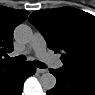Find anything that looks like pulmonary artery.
I'll return each instance as SVG.
<instances>
[{
    "label": "pulmonary artery",
    "instance_id": "e3ab8cb5",
    "mask_svg": "<svg viewBox=\"0 0 95 95\" xmlns=\"http://www.w3.org/2000/svg\"><path fill=\"white\" fill-rule=\"evenodd\" d=\"M34 50L36 56L49 64L53 68H60L62 66L61 61L53 54L49 53L46 48V41L44 37L36 32L27 48V51ZM17 54V53H15Z\"/></svg>",
    "mask_w": 95,
    "mask_h": 95
}]
</instances>
